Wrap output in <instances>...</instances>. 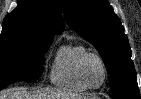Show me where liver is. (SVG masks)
<instances>
[{"instance_id":"6515ba94","label":"liver","mask_w":141,"mask_h":99,"mask_svg":"<svg viewBox=\"0 0 141 99\" xmlns=\"http://www.w3.org/2000/svg\"><path fill=\"white\" fill-rule=\"evenodd\" d=\"M82 98L61 90L42 88L28 91L26 88H14L0 93V99H76Z\"/></svg>"}]
</instances>
